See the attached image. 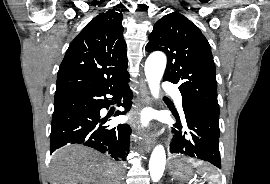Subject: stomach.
I'll use <instances>...</instances> for the list:
<instances>
[{
    "label": "stomach",
    "instance_id": "stomach-1",
    "mask_svg": "<svg viewBox=\"0 0 270 184\" xmlns=\"http://www.w3.org/2000/svg\"><path fill=\"white\" fill-rule=\"evenodd\" d=\"M169 169L170 175L181 182L190 180L194 175L192 167L181 160L171 161Z\"/></svg>",
    "mask_w": 270,
    "mask_h": 184
}]
</instances>
